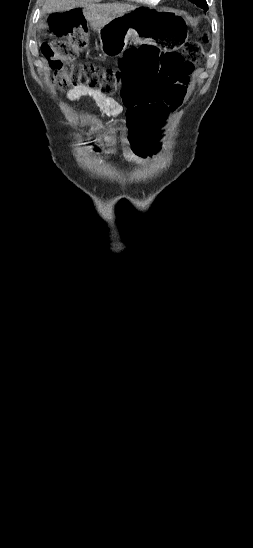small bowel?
Listing matches in <instances>:
<instances>
[{"mask_svg":"<svg viewBox=\"0 0 253 548\" xmlns=\"http://www.w3.org/2000/svg\"><path fill=\"white\" fill-rule=\"evenodd\" d=\"M152 60H163L160 57H156ZM83 96L91 97L97 106L109 116V120L106 123L105 132L101 138V143L104 148L106 155H113L116 151V137L115 133L117 131L122 132V139L125 144L124 157L131 162L135 163H146L148 157L144 159H139L136 157V150L133 148V143L129 140V135L132 133L130 126L128 125V105H124L126 108V117L123 118L122 114L124 111V106L121 105L114 97L111 95H105L97 90H92L84 85H77L73 90L68 93V99L72 102L78 101Z\"/></svg>","mask_w":253,"mask_h":548,"instance_id":"obj_1","label":"small bowel"}]
</instances>
